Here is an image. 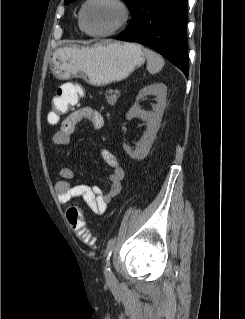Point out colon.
Listing matches in <instances>:
<instances>
[{
	"mask_svg": "<svg viewBox=\"0 0 245 319\" xmlns=\"http://www.w3.org/2000/svg\"><path fill=\"white\" fill-rule=\"evenodd\" d=\"M80 96V89H76L73 92H61L59 90L53 99V108L49 115V119L52 122H57L60 117L68 113L73 107L78 104ZM67 221L76 233L84 242L94 246L92 237L87 230L86 223L82 210L77 205H69L66 210Z\"/></svg>",
	"mask_w": 245,
	"mask_h": 319,
	"instance_id": "1",
	"label": "colon"
}]
</instances>
